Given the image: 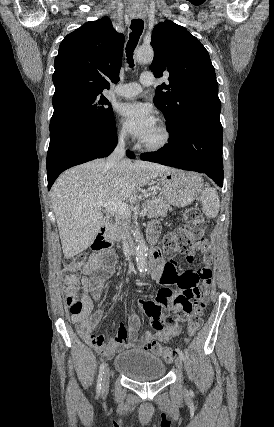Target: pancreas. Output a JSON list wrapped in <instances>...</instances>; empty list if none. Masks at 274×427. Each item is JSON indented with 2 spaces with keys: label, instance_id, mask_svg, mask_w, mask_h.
<instances>
[{
  "label": "pancreas",
  "instance_id": "obj_1",
  "mask_svg": "<svg viewBox=\"0 0 274 427\" xmlns=\"http://www.w3.org/2000/svg\"><path fill=\"white\" fill-rule=\"evenodd\" d=\"M144 208H147V217H158V215H166L168 210H171L168 202L159 196H153L152 200H144ZM130 215L128 214H115L111 223H107L105 237L120 241L122 237H128L129 233Z\"/></svg>",
  "mask_w": 274,
  "mask_h": 427
}]
</instances>
